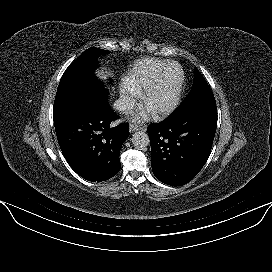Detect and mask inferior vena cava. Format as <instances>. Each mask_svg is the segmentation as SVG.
<instances>
[{"label": "inferior vena cava", "instance_id": "obj_1", "mask_svg": "<svg viewBox=\"0 0 272 272\" xmlns=\"http://www.w3.org/2000/svg\"><path fill=\"white\" fill-rule=\"evenodd\" d=\"M113 108L122 113H130L134 108V102L128 98H121L115 101Z\"/></svg>", "mask_w": 272, "mask_h": 272}]
</instances>
